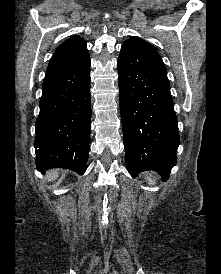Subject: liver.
Listing matches in <instances>:
<instances>
[{
    "label": "liver",
    "mask_w": 221,
    "mask_h": 274,
    "mask_svg": "<svg viewBox=\"0 0 221 274\" xmlns=\"http://www.w3.org/2000/svg\"><path fill=\"white\" fill-rule=\"evenodd\" d=\"M58 175H59V174H58L57 171L52 170V171H50V172L48 173L47 179H48V181H54V180L57 179Z\"/></svg>",
    "instance_id": "obj_1"
}]
</instances>
